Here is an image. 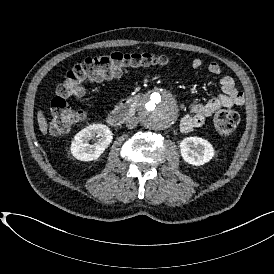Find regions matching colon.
Listing matches in <instances>:
<instances>
[{
    "label": "colon",
    "mask_w": 274,
    "mask_h": 274,
    "mask_svg": "<svg viewBox=\"0 0 274 274\" xmlns=\"http://www.w3.org/2000/svg\"><path fill=\"white\" fill-rule=\"evenodd\" d=\"M168 61L166 56L160 54L125 52L85 58L81 63L74 65L56 87V94L50 101V135H64L79 122L80 112L68 105L67 100L70 97H83L86 85L119 78L127 74L131 68L165 65ZM239 121L237 112L224 109L216 113L214 126L218 133L228 135L237 129Z\"/></svg>",
    "instance_id": "colon-1"
}]
</instances>
